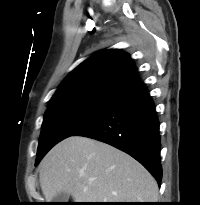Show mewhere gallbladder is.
<instances>
[{"mask_svg":"<svg viewBox=\"0 0 200 205\" xmlns=\"http://www.w3.org/2000/svg\"><path fill=\"white\" fill-rule=\"evenodd\" d=\"M69 194L65 192L58 193L53 199L54 202H67L69 199Z\"/></svg>","mask_w":200,"mask_h":205,"instance_id":"obj_1","label":"gallbladder"}]
</instances>
